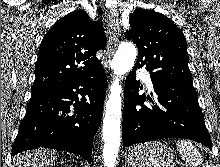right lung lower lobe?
<instances>
[{"mask_svg": "<svg viewBox=\"0 0 220 167\" xmlns=\"http://www.w3.org/2000/svg\"><path fill=\"white\" fill-rule=\"evenodd\" d=\"M106 87V74L100 67L66 85L32 92L12 155L41 146L80 155L91 164Z\"/></svg>", "mask_w": 220, "mask_h": 167, "instance_id": "obj_1", "label": "right lung lower lobe"}]
</instances>
